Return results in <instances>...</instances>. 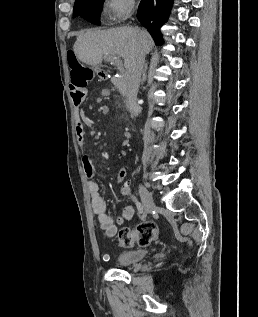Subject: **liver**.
<instances>
[{
	"label": "liver",
	"instance_id": "6515ba94",
	"mask_svg": "<svg viewBox=\"0 0 258 317\" xmlns=\"http://www.w3.org/2000/svg\"><path fill=\"white\" fill-rule=\"evenodd\" d=\"M135 34H139L144 52L148 54L154 44L153 38L147 30L132 28V26H117V28H108V30H86V32L78 34L73 46L74 52L81 62H86L91 66L101 64L103 54L123 56L124 66L129 68L136 50Z\"/></svg>",
	"mask_w": 258,
	"mask_h": 317
}]
</instances>
